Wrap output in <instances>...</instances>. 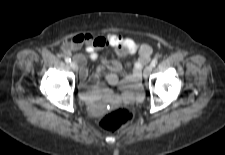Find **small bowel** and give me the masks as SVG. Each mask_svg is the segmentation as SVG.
Wrapping results in <instances>:
<instances>
[{
	"mask_svg": "<svg viewBox=\"0 0 225 155\" xmlns=\"http://www.w3.org/2000/svg\"><path fill=\"white\" fill-rule=\"evenodd\" d=\"M107 47L113 48L120 57L136 53H138L139 57L125 67L116 60L101 59V65L97 68L94 76L95 86L84 90L82 93L83 98L87 101H93L100 96H104L111 103L139 99L142 96L140 85L141 71L151 56V48L147 44H139L131 38L116 34L94 36L89 33H79L62 44V51L65 55L71 56L74 51L84 48L88 57L96 61L100 59V51ZM74 60L81 67V78L87 79L86 57L83 54H77L74 56ZM127 69H132V72L119 78L118 73ZM116 84H119L122 92L113 94L108 86Z\"/></svg>",
	"mask_w": 225,
	"mask_h": 155,
	"instance_id": "c3829d8e",
	"label": "small bowel"
}]
</instances>
